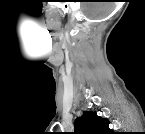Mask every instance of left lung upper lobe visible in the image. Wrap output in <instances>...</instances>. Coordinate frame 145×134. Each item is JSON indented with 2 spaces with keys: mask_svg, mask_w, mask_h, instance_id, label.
<instances>
[{
  "mask_svg": "<svg viewBox=\"0 0 145 134\" xmlns=\"http://www.w3.org/2000/svg\"><path fill=\"white\" fill-rule=\"evenodd\" d=\"M74 134H112L109 128V121L100 118L96 112L84 111L74 123Z\"/></svg>",
  "mask_w": 145,
  "mask_h": 134,
  "instance_id": "1",
  "label": "left lung upper lobe"
}]
</instances>
